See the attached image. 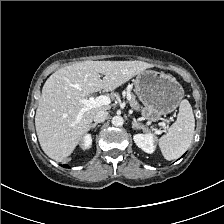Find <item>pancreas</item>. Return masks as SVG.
Masks as SVG:
<instances>
[{"instance_id":"cf45deb5","label":"pancreas","mask_w":224,"mask_h":224,"mask_svg":"<svg viewBox=\"0 0 224 224\" xmlns=\"http://www.w3.org/2000/svg\"><path fill=\"white\" fill-rule=\"evenodd\" d=\"M129 102H130V105H131L134 109L139 110L140 106H139V104H138V102H137V100H136V98H135V96H134L133 94L130 95V100H129Z\"/></svg>"}]
</instances>
